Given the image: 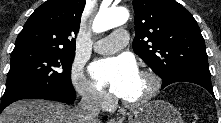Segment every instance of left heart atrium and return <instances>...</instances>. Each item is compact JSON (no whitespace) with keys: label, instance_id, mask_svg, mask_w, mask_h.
<instances>
[{"label":"left heart atrium","instance_id":"1","mask_svg":"<svg viewBox=\"0 0 221 123\" xmlns=\"http://www.w3.org/2000/svg\"><path fill=\"white\" fill-rule=\"evenodd\" d=\"M138 70L133 59L118 56L100 59L90 66V74L99 86H107L118 97H122Z\"/></svg>","mask_w":221,"mask_h":123}]
</instances>
